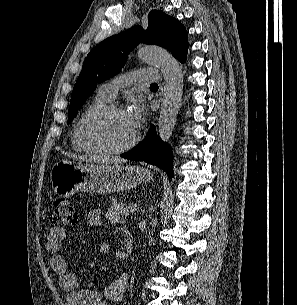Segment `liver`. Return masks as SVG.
Returning a JSON list of instances; mask_svg holds the SVG:
<instances>
[{
    "instance_id": "obj_1",
    "label": "liver",
    "mask_w": 297,
    "mask_h": 305,
    "mask_svg": "<svg viewBox=\"0 0 297 305\" xmlns=\"http://www.w3.org/2000/svg\"><path fill=\"white\" fill-rule=\"evenodd\" d=\"M65 155L75 159V160H79L80 162H96V163H106V164H122L125 163L126 160L124 159H120V158H113V159H109V158H102V157H98V156H84V155H76V154H68L65 153Z\"/></svg>"
}]
</instances>
